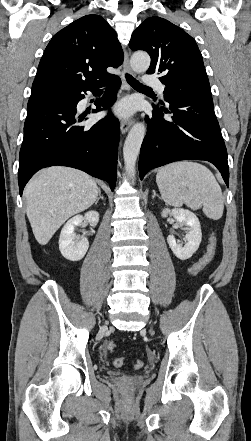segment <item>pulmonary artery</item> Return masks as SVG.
<instances>
[{
	"label": "pulmonary artery",
	"mask_w": 251,
	"mask_h": 441,
	"mask_svg": "<svg viewBox=\"0 0 251 441\" xmlns=\"http://www.w3.org/2000/svg\"><path fill=\"white\" fill-rule=\"evenodd\" d=\"M144 82L146 85L154 87L161 95H164L165 87L160 80L157 78L146 76L144 78Z\"/></svg>",
	"instance_id": "pulmonary-artery-1"
}]
</instances>
